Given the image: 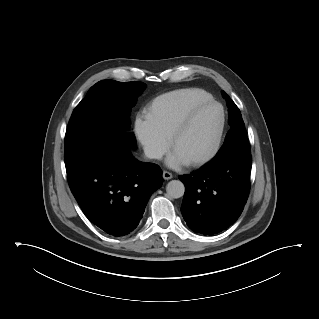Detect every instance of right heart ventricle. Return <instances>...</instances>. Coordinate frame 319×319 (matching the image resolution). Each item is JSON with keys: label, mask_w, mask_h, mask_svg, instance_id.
<instances>
[{"label": "right heart ventricle", "mask_w": 319, "mask_h": 319, "mask_svg": "<svg viewBox=\"0 0 319 319\" xmlns=\"http://www.w3.org/2000/svg\"><path fill=\"white\" fill-rule=\"evenodd\" d=\"M200 88H184L155 97L146 108V118L167 139L194 105L211 99Z\"/></svg>", "instance_id": "e07e8e85"}]
</instances>
